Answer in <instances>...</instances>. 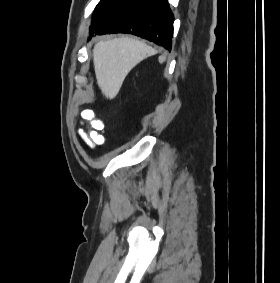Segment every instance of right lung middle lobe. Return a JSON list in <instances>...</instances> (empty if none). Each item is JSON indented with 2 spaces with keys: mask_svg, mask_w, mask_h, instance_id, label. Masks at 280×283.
Instances as JSON below:
<instances>
[{
  "mask_svg": "<svg viewBox=\"0 0 280 283\" xmlns=\"http://www.w3.org/2000/svg\"><path fill=\"white\" fill-rule=\"evenodd\" d=\"M138 1L139 0H101L93 13L90 33L95 32L109 18Z\"/></svg>",
  "mask_w": 280,
  "mask_h": 283,
  "instance_id": "obj_1",
  "label": "right lung middle lobe"
}]
</instances>
